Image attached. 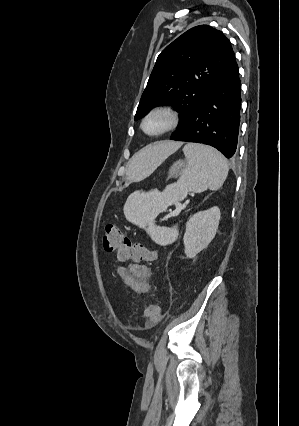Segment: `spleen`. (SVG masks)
I'll list each match as a JSON object with an SVG mask.
<instances>
[{"instance_id":"3e777b00","label":"spleen","mask_w":299,"mask_h":426,"mask_svg":"<svg viewBox=\"0 0 299 426\" xmlns=\"http://www.w3.org/2000/svg\"><path fill=\"white\" fill-rule=\"evenodd\" d=\"M188 162L180 179L160 192L136 191L126 200L123 211L125 218L146 230L151 239L159 245L174 242L178 236L176 227L167 228L155 225V217L168 206L183 200L189 191L200 193L207 189H219L227 178L229 165L225 157L216 149L189 143L183 148Z\"/></svg>"}]
</instances>
